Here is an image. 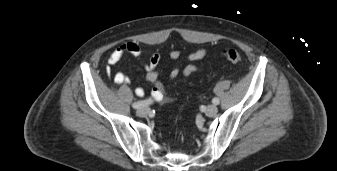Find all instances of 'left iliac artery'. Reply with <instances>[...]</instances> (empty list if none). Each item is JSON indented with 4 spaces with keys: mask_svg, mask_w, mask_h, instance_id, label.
I'll use <instances>...</instances> for the list:
<instances>
[{
    "mask_svg": "<svg viewBox=\"0 0 337 171\" xmlns=\"http://www.w3.org/2000/svg\"><path fill=\"white\" fill-rule=\"evenodd\" d=\"M212 103H213L214 105H218V104L220 103V101H219L218 98H213Z\"/></svg>",
    "mask_w": 337,
    "mask_h": 171,
    "instance_id": "1",
    "label": "left iliac artery"
}]
</instances>
